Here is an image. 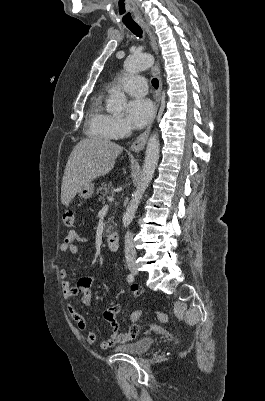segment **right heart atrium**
<instances>
[{"mask_svg":"<svg viewBox=\"0 0 265 401\" xmlns=\"http://www.w3.org/2000/svg\"><path fill=\"white\" fill-rule=\"evenodd\" d=\"M109 126L112 133L118 138L126 137L131 133L130 125L122 119L111 118Z\"/></svg>","mask_w":265,"mask_h":401,"instance_id":"d8ad5b80","label":"right heart atrium"}]
</instances>
